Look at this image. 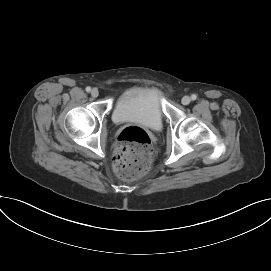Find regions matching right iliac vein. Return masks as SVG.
Instances as JSON below:
<instances>
[{
  "label": "right iliac vein",
  "instance_id": "1",
  "mask_svg": "<svg viewBox=\"0 0 271 271\" xmlns=\"http://www.w3.org/2000/svg\"><path fill=\"white\" fill-rule=\"evenodd\" d=\"M98 95H99L98 89L93 88L92 91H91V96L96 98V97H98Z\"/></svg>",
  "mask_w": 271,
  "mask_h": 271
}]
</instances>
